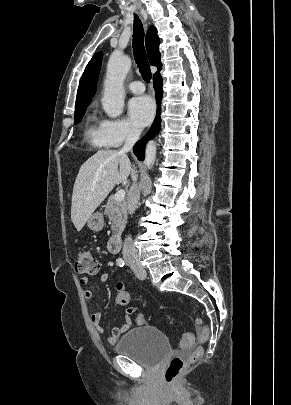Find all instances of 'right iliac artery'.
Here are the masks:
<instances>
[{"mask_svg": "<svg viewBox=\"0 0 291 405\" xmlns=\"http://www.w3.org/2000/svg\"><path fill=\"white\" fill-rule=\"evenodd\" d=\"M117 265H118L119 267H123V266L125 265L124 260L121 259V258H119V259L117 260Z\"/></svg>", "mask_w": 291, "mask_h": 405, "instance_id": "right-iliac-artery-1", "label": "right iliac artery"}]
</instances>
